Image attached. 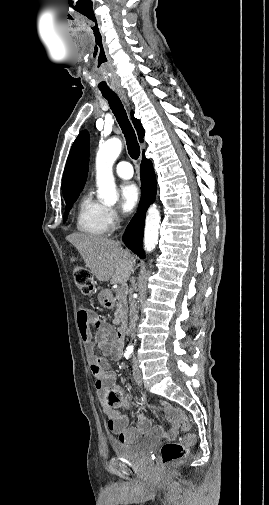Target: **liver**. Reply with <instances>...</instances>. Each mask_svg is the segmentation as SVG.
<instances>
[{
    "label": "liver",
    "instance_id": "liver-1",
    "mask_svg": "<svg viewBox=\"0 0 269 505\" xmlns=\"http://www.w3.org/2000/svg\"><path fill=\"white\" fill-rule=\"evenodd\" d=\"M66 240L76 247L86 267L99 281L123 284L133 272L136 259L118 241L81 233H72Z\"/></svg>",
    "mask_w": 269,
    "mask_h": 505
}]
</instances>
